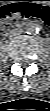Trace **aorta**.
Returning <instances> with one entry per match:
<instances>
[{"label": "aorta", "instance_id": "obj_1", "mask_svg": "<svg viewBox=\"0 0 50 111\" xmlns=\"http://www.w3.org/2000/svg\"><path fill=\"white\" fill-rule=\"evenodd\" d=\"M26 33L28 34H37L40 30L39 26L36 23L29 22L25 27Z\"/></svg>", "mask_w": 50, "mask_h": 111}]
</instances>
